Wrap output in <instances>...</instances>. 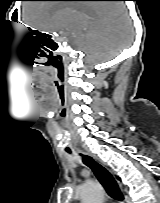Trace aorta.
<instances>
[{
    "instance_id": "aorta-1",
    "label": "aorta",
    "mask_w": 160,
    "mask_h": 203,
    "mask_svg": "<svg viewBox=\"0 0 160 203\" xmlns=\"http://www.w3.org/2000/svg\"><path fill=\"white\" fill-rule=\"evenodd\" d=\"M82 203H103L104 191L101 185L95 181H88L80 188Z\"/></svg>"
}]
</instances>
